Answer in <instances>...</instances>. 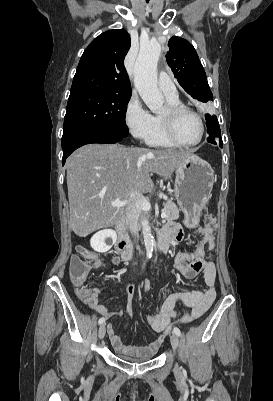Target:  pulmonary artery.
<instances>
[{"label": "pulmonary artery", "mask_w": 273, "mask_h": 401, "mask_svg": "<svg viewBox=\"0 0 273 401\" xmlns=\"http://www.w3.org/2000/svg\"><path fill=\"white\" fill-rule=\"evenodd\" d=\"M162 82L164 83V86L162 88V92L164 95L168 98H173L177 96V83L175 80H172V77L170 74H163L161 77Z\"/></svg>", "instance_id": "pulmonary-artery-1"}]
</instances>
